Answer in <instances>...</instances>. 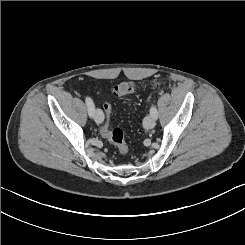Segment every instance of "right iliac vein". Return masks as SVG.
<instances>
[{
	"label": "right iliac vein",
	"instance_id": "right-iliac-vein-1",
	"mask_svg": "<svg viewBox=\"0 0 245 245\" xmlns=\"http://www.w3.org/2000/svg\"><path fill=\"white\" fill-rule=\"evenodd\" d=\"M94 120L98 124L103 122L104 114L101 109L97 108L96 110H94Z\"/></svg>",
	"mask_w": 245,
	"mask_h": 245
}]
</instances>
